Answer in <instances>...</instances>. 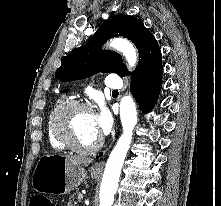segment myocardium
<instances>
[{"label": "myocardium", "instance_id": "obj_1", "mask_svg": "<svg viewBox=\"0 0 221 206\" xmlns=\"http://www.w3.org/2000/svg\"><path fill=\"white\" fill-rule=\"evenodd\" d=\"M76 109L91 111V107L87 103L79 100H67L61 103L56 108L52 117L53 132L57 139L68 149L79 154H92L102 145V138L99 137L95 143L87 147L81 146L77 143L70 124V114Z\"/></svg>", "mask_w": 221, "mask_h": 206}]
</instances>
